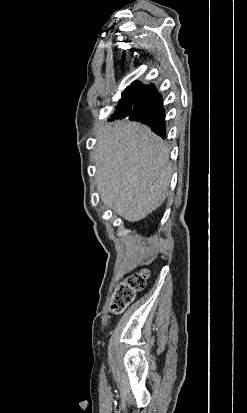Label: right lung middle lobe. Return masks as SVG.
Listing matches in <instances>:
<instances>
[{
	"mask_svg": "<svg viewBox=\"0 0 247 413\" xmlns=\"http://www.w3.org/2000/svg\"><path fill=\"white\" fill-rule=\"evenodd\" d=\"M135 88L133 87V84L131 87H127L124 93L122 94V99H133L135 95Z\"/></svg>",
	"mask_w": 247,
	"mask_h": 413,
	"instance_id": "1",
	"label": "right lung middle lobe"
}]
</instances>
